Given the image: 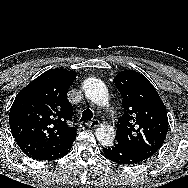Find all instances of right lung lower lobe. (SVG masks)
I'll list each match as a JSON object with an SVG mask.
<instances>
[{"label":"right lung lower lobe","instance_id":"right-lung-lower-lobe-1","mask_svg":"<svg viewBox=\"0 0 188 188\" xmlns=\"http://www.w3.org/2000/svg\"><path fill=\"white\" fill-rule=\"evenodd\" d=\"M74 140L70 141L69 143L61 147L35 153L32 156H30V158H33L36 160H54V159L61 158L65 156L71 150Z\"/></svg>","mask_w":188,"mask_h":188}]
</instances>
